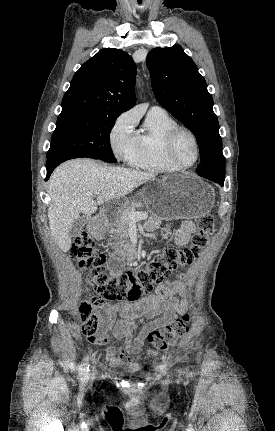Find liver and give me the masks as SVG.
Masks as SVG:
<instances>
[{
  "instance_id": "6515ba94",
  "label": "liver",
  "mask_w": 275,
  "mask_h": 431,
  "mask_svg": "<svg viewBox=\"0 0 275 431\" xmlns=\"http://www.w3.org/2000/svg\"><path fill=\"white\" fill-rule=\"evenodd\" d=\"M154 178L151 173L105 166L92 159H75L61 164L48 183L51 198L49 227L57 246L63 252L71 248L69 230L80 213L90 216L97 211L98 205L124 197ZM96 190L101 191L97 201L93 199Z\"/></svg>"
}]
</instances>
